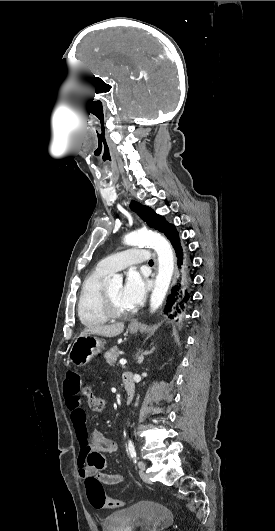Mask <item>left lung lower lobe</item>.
Here are the masks:
<instances>
[{"label":"left lung lower lobe","instance_id":"1","mask_svg":"<svg viewBox=\"0 0 275 531\" xmlns=\"http://www.w3.org/2000/svg\"><path fill=\"white\" fill-rule=\"evenodd\" d=\"M164 234L175 250L178 268L176 282L167 298L164 314L168 315L169 318H182L186 314L188 301L190 300L191 260L188 250L181 241L174 225L171 224Z\"/></svg>","mask_w":275,"mask_h":531}]
</instances>
